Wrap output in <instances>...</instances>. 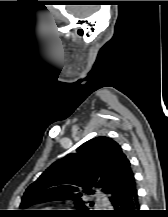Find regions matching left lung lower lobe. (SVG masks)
Returning <instances> with one entry per match:
<instances>
[{
	"label": "left lung lower lobe",
	"mask_w": 168,
	"mask_h": 217,
	"mask_svg": "<svg viewBox=\"0 0 168 217\" xmlns=\"http://www.w3.org/2000/svg\"><path fill=\"white\" fill-rule=\"evenodd\" d=\"M109 200L114 209L112 211L103 212V215L113 217H138L140 212L138 210V195L134 175L131 176L122 188L112 193Z\"/></svg>",
	"instance_id": "left-lung-lower-lobe-1"
}]
</instances>
